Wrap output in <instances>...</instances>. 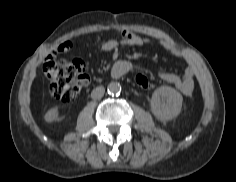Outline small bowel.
<instances>
[{
  "label": "small bowel",
  "mask_w": 236,
  "mask_h": 182,
  "mask_svg": "<svg viewBox=\"0 0 236 182\" xmlns=\"http://www.w3.org/2000/svg\"><path fill=\"white\" fill-rule=\"evenodd\" d=\"M120 37L118 39H109L103 42L102 49L105 52L115 50L119 46H147L150 44V40L139 36L128 30H120ZM160 46L169 54L178 57L186 58V54L179 50L172 41L162 40ZM72 48L70 41L62 42L54 51L55 54L66 53ZM160 78L169 84H172L181 94L184 96H191L194 91V76L195 69L193 65H188L182 75H178L170 72L160 73Z\"/></svg>",
  "instance_id": "small-bowel-1"
}]
</instances>
